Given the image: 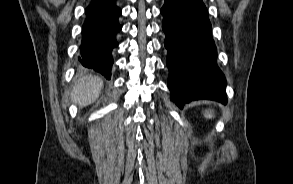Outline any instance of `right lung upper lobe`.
Instances as JSON below:
<instances>
[{
	"label": "right lung upper lobe",
	"mask_w": 293,
	"mask_h": 184,
	"mask_svg": "<svg viewBox=\"0 0 293 184\" xmlns=\"http://www.w3.org/2000/svg\"><path fill=\"white\" fill-rule=\"evenodd\" d=\"M104 1H107V0H92V2H104Z\"/></svg>",
	"instance_id": "1"
}]
</instances>
